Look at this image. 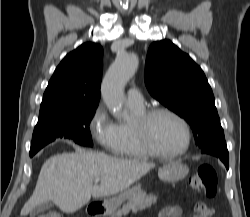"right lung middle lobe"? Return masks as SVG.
<instances>
[{"label": "right lung middle lobe", "mask_w": 250, "mask_h": 217, "mask_svg": "<svg viewBox=\"0 0 250 217\" xmlns=\"http://www.w3.org/2000/svg\"><path fill=\"white\" fill-rule=\"evenodd\" d=\"M97 106L70 108L39 115L34 128L30 156L56 138L73 139L77 144L92 146L89 124Z\"/></svg>", "instance_id": "dd1d6c3e"}]
</instances>
